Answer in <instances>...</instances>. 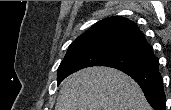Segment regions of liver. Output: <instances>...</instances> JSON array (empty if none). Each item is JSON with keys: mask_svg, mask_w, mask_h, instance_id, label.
<instances>
[{"mask_svg": "<svg viewBox=\"0 0 171 110\" xmlns=\"http://www.w3.org/2000/svg\"><path fill=\"white\" fill-rule=\"evenodd\" d=\"M55 110H152L140 86L125 73L90 67L62 83Z\"/></svg>", "mask_w": 171, "mask_h": 110, "instance_id": "obj_1", "label": "liver"}]
</instances>
